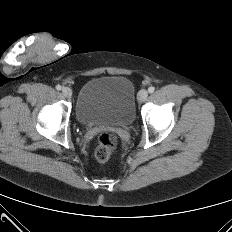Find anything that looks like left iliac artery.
<instances>
[{
    "instance_id": "left-iliac-artery-1",
    "label": "left iliac artery",
    "mask_w": 232,
    "mask_h": 232,
    "mask_svg": "<svg viewBox=\"0 0 232 232\" xmlns=\"http://www.w3.org/2000/svg\"><path fill=\"white\" fill-rule=\"evenodd\" d=\"M155 91V88L153 86L149 87L148 88V92L149 93H153Z\"/></svg>"
}]
</instances>
